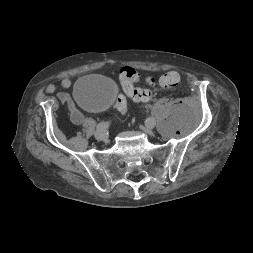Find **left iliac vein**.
Masks as SVG:
<instances>
[{
  "label": "left iliac vein",
  "mask_w": 253,
  "mask_h": 253,
  "mask_svg": "<svg viewBox=\"0 0 253 253\" xmlns=\"http://www.w3.org/2000/svg\"><path fill=\"white\" fill-rule=\"evenodd\" d=\"M143 129V131L149 135H153V127L152 126H144L141 127Z\"/></svg>",
  "instance_id": "1"
}]
</instances>
